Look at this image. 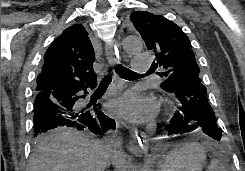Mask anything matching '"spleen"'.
<instances>
[{"instance_id":"obj_1","label":"spleen","mask_w":245,"mask_h":171,"mask_svg":"<svg viewBox=\"0 0 245 171\" xmlns=\"http://www.w3.org/2000/svg\"><path fill=\"white\" fill-rule=\"evenodd\" d=\"M207 171H226V169L219 160L213 158Z\"/></svg>"}]
</instances>
